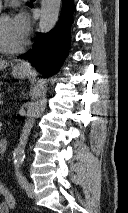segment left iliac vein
<instances>
[{"label": "left iliac vein", "instance_id": "obj_1", "mask_svg": "<svg viewBox=\"0 0 128 213\" xmlns=\"http://www.w3.org/2000/svg\"><path fill=\"white\" fill-rule=\"evenodd\" d=\"M26 193L30 198L34 197V185L32 183H27L26 187Z\"/></svg>", "mask_w": 128, "mask_h": 213}]
</instances>
